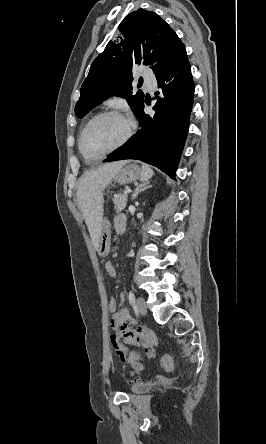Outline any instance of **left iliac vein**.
<instances>
[{"label":"left iliac vein","mask_w":266,"mask_h":444,"mask_svg":"<svg viewBox=\"0 0 266 444\" xmlns=\"http://www.w3.org/2000/svg\"><path fill=\"white\" fill-rule=\"evenodd\" d=\"M136 309L141 315H145L147 313V306L145 300L142 297L137 298Z\"/></svg>","instance_id":"left-iliac-vein-1"}]
</instances>
